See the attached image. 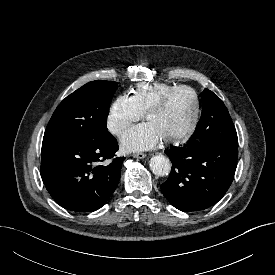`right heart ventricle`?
Masks as SVG:
<instances>
[{
    "instance_id": "right-heart-ventricle-1",
    "label": "right heart ventricle",
    "mask_w": 275,
    "mask_h": 275,
    "mask_svg": "<svg viewBox=\"0 0 275 275\" xmlns=\"http://www.w3.org/2000/svg\"><path fill=\"white\" fill-rule=\"evenodd\" d=\"M174 85L167 83H140L131 90V98L136 108L145 114L147 109L167 90Z\"/></svg>"
}]
</instances>
